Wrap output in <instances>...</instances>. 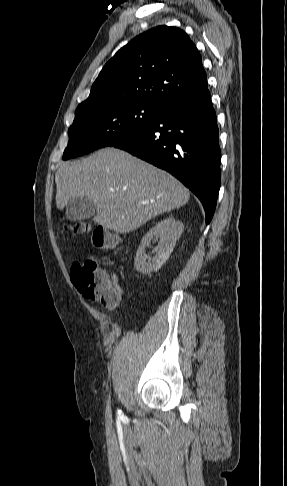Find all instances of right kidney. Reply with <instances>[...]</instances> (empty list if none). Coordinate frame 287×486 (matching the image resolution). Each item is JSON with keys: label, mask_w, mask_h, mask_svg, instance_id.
Listing matches in <instances>:
<instances>
[{"label": "right kidney", "mask_w": 287, "mask_h": 486, "mask_svg": "<svg viewBox=\"0 0 287 486\" xmlns=\"http://www.w3.org/2000/svg\"><path fill=\"white\" fill-rule=\"evenodd\" d=\"M183 229L184 224L173 217L163 219L151 228L141 240L137 250L134 260L135 269L144 275L158 271L172 253ZM151 241L158 242L154 249L156 255L153 258L147 257L145 253V249L151 244Z\"/></svg>", "instance_id": "obj_1"}]
</instances>
